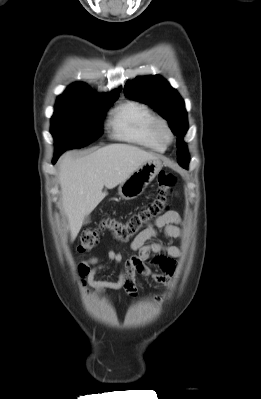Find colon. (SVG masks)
I'll list each match as a JSON object with an SVG mask.
<instances>
[{"instance_id":"1","label":"colon","mask_w":261,"mask_h":399,"mask_svg":"<svg viewBox=\"0 0 261 399\" xmlns=\"http://www.w3.org/2000/svg\"><path fill=\"white\" fill-rule=\"evenodd\" d=\"M175 182L176 178L172 173L161 171L157 176L156 195L151 202L133 212L125 221L107 217L96 226L85 228L80 234L79 251L92 250L97 245L100 235L105 231L111 233L118 241L128 242L132 240L150 223L166 212Z\"/></svg>"}]
</instances>
